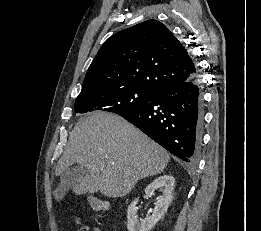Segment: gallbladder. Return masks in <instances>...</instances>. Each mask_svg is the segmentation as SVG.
Segmentation results:
<instances>
[{
  "instance_id": "gallbladder-1",
  "label": "gallbladder",
  "mask_w": 261,
  "mask_h": 231,
  "mask_svg": "<svg viewBox=\"0 0 261 231\" xmlns=\"http://www.w3.org/2000/svg\"><path fill=\"white\" fill-rule=\"evenodd\" d=\"M86 175H88V170L85 167L75 166L69 168L67 172L61 176L60 188L54 192L55 199L61 200L71 185L79 182Z\"/></svg>"
}]
</instances>
